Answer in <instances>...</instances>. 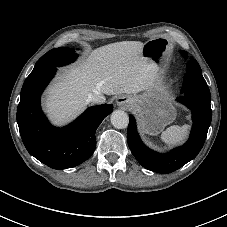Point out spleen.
I'll use <instances>...</instances> for the list:
<instances>
[{"mask_svg":"<svg viewBox=\"0 0 227 227\" xmlns=\"http://www.w3.org/2000/svg\"><path fill=\"white\" fill-rule=\"evenodd\" d=\"M189 125L183 126L173 125L168 127L161 134V139L168 145H177L181 143L187 136Z\"/></svg>","mask_w":227,"mask_h":227,"instance_id":"3e777b00","label":"spleen"}]
</instances>
